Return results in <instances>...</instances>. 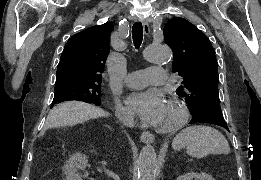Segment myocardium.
<instances>
[{
  "mask_svg": "<svg viewBox=\"0 0 261 180\" xmlns=\"http://www.w3.org/2000/svg\"><path fill=\"white\" fill-rule=\"evenodd\" d=\"M172 106V115L170 121L166 125L152 124L151 130L161 136L176 135L181 129L187 119L186 104L174 95L168 98Z\"/></svg>",
  "mask_w": 261,
  "mask_h": 180,
  "instance_id": "f54148a6",
  "label": "myocardium"
}]
</instances>
